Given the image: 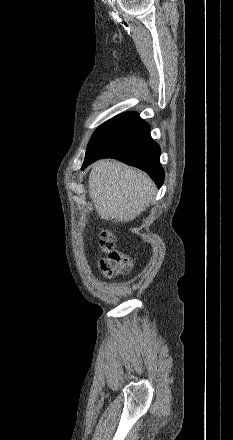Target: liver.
<instances>
[{
	"instance_id": "1",
	"label": "liver",
	"mask_w": 233,
	"mask_h": 440,
	"mask_svg": "<svg viewBox=\"0 0 233 440\" xmlns=\"http://www.w3.org/2000/svg\"><path fill=\"white\" fill-rule=\"evenodd\" d=\"M88 183L98 216L112 222L134 220L146 210L156 192L154 182L145 173L108 159L93 164Z\"/></svg>"
}]
</instances>
